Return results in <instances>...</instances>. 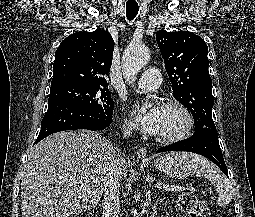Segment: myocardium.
Returning a JSON list of instances; mask_svg holds the SVG:
<instances>
[{"instance_id": "f54148a6", "label": "myocardium", "mask_w": 255, "mask_h": 217, "mask_svg": "<svg viewBox=\"0 0 255 217\" xmlns=\"http://www.w3.org/2000/svg\"><path fill=\"white\" fill-rule=\"evenodd\" d=\"M163 108H175L178 109L184 116V125L176 133L169 135H158L156 137L157 141L164 144H171L178 141H181L189 136L194 126V118L189 110V108L182 102L178 100H169L163 104Z\"/></svg>"}]
</instances>
